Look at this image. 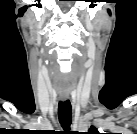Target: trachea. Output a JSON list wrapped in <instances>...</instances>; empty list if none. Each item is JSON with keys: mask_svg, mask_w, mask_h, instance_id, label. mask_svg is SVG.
Segmentation results:
<instances>
[{"mask_svg": "<svg viewBox=\"0 0 137 134\" xmlns=\"http://www.w3.org/2000/svg\"><path fill=\"white\" fill-rule=\"evenodd\" d=\"M58 117L63 129L69 130L72 119V108L69 100L59 102Z\"/></svg>", "mask_w": 137, "mask_h": 134, "instance_id": "trachea-1", "label": "trachea"}]
</instances>
